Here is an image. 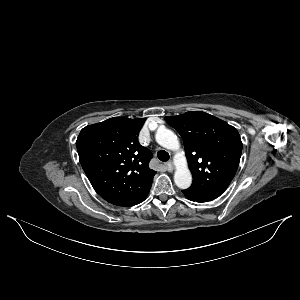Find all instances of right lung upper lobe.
<instances>
[{"mask_svg": "<svg viewBox=\"0 0 300 300\" xmlns=\"http://www.w3.org/2000/svg\"><path fill=\"white\" fill-rule=\"evenodd\" d=\"M145 119L110 118L84 127L76 141L79 160L95 191L106 201L145 192L156 171L152 153L138 142Z\"/></svg>", "mask_w": 300, "mask_h": 300, "instance_id": "1", "label": "right lung upper lobe"}]
</instances>
